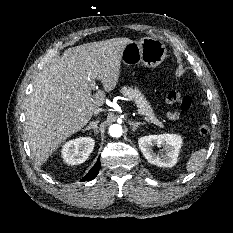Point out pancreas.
I'll use <instances>...</instances> for the list:
<instances>
[{"instance_id":"cf45deb5","label":"pancreas","mask_w":233,"mask_h":233,"mask_svg":"<svg viewBox=\"0 0 233 233\" xmlns=\"http://www.w3.org/2000/svg\"><path fill=\"white\" fill-rule=\"evenodd\" d=\"M121 93L128 97L129 99L133 100L139 110V113L145 118L148 119V122L154 123L160 127H163L162 122H160L156 116L153 113V110L149 104V102L146 100L144 95L139 91L138 88L133 87H126L124 86L121 89Z\"/></svg>"}]
</instances>
